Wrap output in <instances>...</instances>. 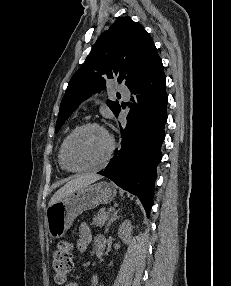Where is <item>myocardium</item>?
Here are the masks:
<instances>
[{
  "instance_id": "f54148a6",
  "label": "myocardium",
  "mask_w": 231,
  "mask_h": 286,
  "mask_svg": "<svg viewBox=\"0 0 231 286\" xmlns=\"http://www.w3.org/2000/svg\"><path fill=\"white\" fill-rule=\"evenodd\" d=\"M87 128L98 129V130L102 131L107 136L108 141H109V147H108L107 153L105 154V156L101 160H99L93 164H90V165H87L84 167H80V168H72L67 164V161H66V152H67L68 144L71 141V139L78 132H80L84 129H87ZM114 150H115V141H114L113 136L110 134V132L103 125H101L97 122H86V123H83V124L77 126L76 128H74L70 132V134L65 138V140L63 141L62 149H61V165L65 170H67L69 172L79 173V172L89 171V170L104 166L111 159Z\"/></svg>"
}]
</instances>
